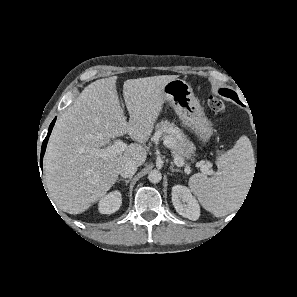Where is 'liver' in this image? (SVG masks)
<instances>
[{"label": "liver", "mask_w": 297, "mask_h": 297, "mask_svg": "<svg viewBox=\"0 0 297 297\" xmlns=\"http://www.w3.org/2000/svg\"><path fill=\"white\" fill-rule=\"evenodd\" d=\"M175 78L126 80L123 97L128 122L118 99L116 76L97 80L80 93L57 120L45 153V184L58 208L74 215L84 212L106 195L126 161L137 166L145 162L147 150L141 144L150 138L162 111L163 86ZM124 134L138 143L107 159L94 153Z\"/></svg>", "instance_id": "liver-1"}]
</instances>
